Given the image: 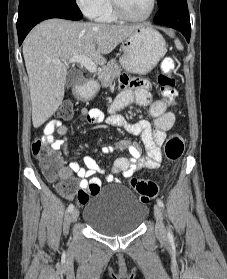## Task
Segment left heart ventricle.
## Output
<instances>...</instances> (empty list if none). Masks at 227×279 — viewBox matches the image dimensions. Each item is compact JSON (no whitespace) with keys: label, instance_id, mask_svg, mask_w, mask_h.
Segmentation results:
<instances>
[{"label":"left heart ventricle","instance_id":"1","mask_svg":"<svg viewBox=\"0 0 227 279\" xmlns=\"http://www.w3.org/2000/svg\"><path fill=\"white\" fill-rule=\"evenodd\" d=\"M121 6L132 16L145 15L150 8V0H119Z\"/></svg>","mask_w":227,"mask_h":279}]
</instances>
